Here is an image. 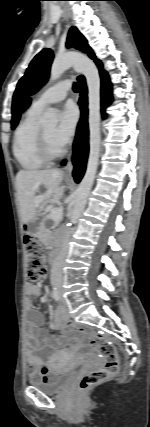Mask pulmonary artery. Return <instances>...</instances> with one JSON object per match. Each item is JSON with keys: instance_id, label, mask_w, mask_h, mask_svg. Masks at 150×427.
<instances>
[{"instance_id": "pulmonary-artery-1", "label": "pulmonary artery", "mask_w": 150, "mask_h": 427, "mask_svg": "<svg viewBox=\"0 0 150 427\" xmlns=\"http://www.w3.org/2000/svg\"><path fill=\"white\" fill-rule=\"evenodd\" d=\"M69 88V81L59 82L42 92L33 102L32 106L42 111L51 104L61 102L66 98Z\"/></svg>"}]
</instances>
